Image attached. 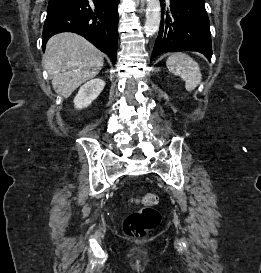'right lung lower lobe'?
Segmentation results:
<instances>
[{
	"mask_svg": "<svg viewBox=\"0 0 261 273\" xmlns=\"http://www.w3.org/2000/svg\"><path fill=\"white\" fill-rule=\"evenodd\" d=\"M119 0H49L42 34L47 40L60 32H74L89 40L116 63Z\"/></svg>",
	"mask_w": 261,
	"mask_h": 273,
	"instance_id": "98d812e1",
	"label": "right lung lower lobe"
}]
</instances>
